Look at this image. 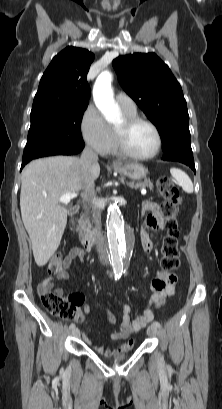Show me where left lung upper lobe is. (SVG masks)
Wrapping results in <instances>:
<instances>
[{
    "label": "left lung upper lobe",
    "mask_w": 222,
    "mask_h": 409,
    "mask_svg": "<svg viewBox=\"0 0 222 409\" xmlns=\"http://www.w3.org/2000/svg\"><path fill=\"white\" fill-rule=\"evenodd\" d=\"M113 66L125 92L157 127L163 151L191 149L186 101L169 67L154 53L119 56Z\"/></svg>",
    "instance_id": "5c2ea615"
}]
</instances>
